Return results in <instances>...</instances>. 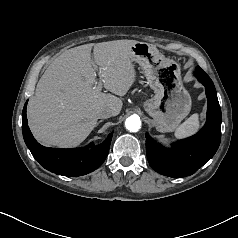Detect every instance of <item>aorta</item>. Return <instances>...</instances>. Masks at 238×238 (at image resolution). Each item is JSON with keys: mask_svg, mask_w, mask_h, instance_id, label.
<instances>
[{"mask_svg": "<svg viewBox=\"0 0 238 238\" xmlns=\"http://www.w3.org/2000/svg\"><path fill=\"white\" fill-rule=\"evenodd\" d=\"M125 127L130 132H137L141 128V120L139 116L132 115L125 120Z\"/></svg>", "mask_w": 238, "mask_h": 238, "instance_id": "1", "label": "aorta"}]
</instances>
